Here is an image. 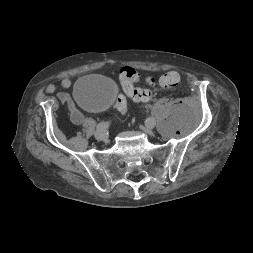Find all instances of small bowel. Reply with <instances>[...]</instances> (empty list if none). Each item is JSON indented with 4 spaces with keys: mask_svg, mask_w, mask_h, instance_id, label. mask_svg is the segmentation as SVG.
<instances>
[{
    "mask_svg": "<svg viewBox=\"0 0 253 253\" xmlns=\"http://www.w3.org/2000/svg\"><path fill=\"white\" fill-rule=\"evenodd\" d=\"M61 85L64 87V88H69L71 85H72V81L68 78H65L62 80L61 82ZM59 99L62 101V102H66L68 101V95L66 93H60L58 95ZM83 114L76 110V109H73L72 112H71V120L74 124H81L83 122Z\"/></svg>",
    "mask_w": 253,
    "mask_h": 253,
    "instance_id": "c3829d8e",
    "label": "small bowel"
}]
</instances>
